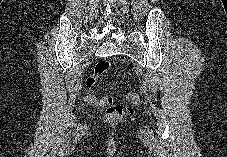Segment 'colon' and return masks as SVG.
I'll list each match as a JSON object with an SVG mask.
<instances>
[{"instance_id":"colon-1","label":"colon","mask_w":227,"mask_h":157,"mask_svg":"<svg viewBox=\"0 0 227 157\" xmlns=\"http://www.w3.org/2000/svg\"><path fill=\"white\" fill-rule=\"evenodd\" d=\"M111 68V62H109L108 60H100L95 66L93 75H91L87 79V86H94L98 78L109 71ZM125 97L134 105H138L140 103V97L136 93L128 92L125 94ZM87 100L89 103L95 106L105 108V117L107 119H128L131 118L134 114L132 107L123 104H115L116 96L114 95H108L100 99L95 98L93 95H89Z\"/></svg>"}]
</instances>
